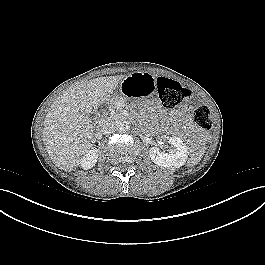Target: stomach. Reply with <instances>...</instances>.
Instances as JSON below:
<instances>
[{
	"label": "stomach",
	"mask_w": 265,
	"mask_h": 265,
	"mask_svg": "<svg viewBox=\"0 0 265 265\" xmlns=\"http://www.w3.org/2000/svg\"><path fill=\"white\" fill-rule=\"evenodd\" d=\"M154 83L155 78L151 74L134 73L121 82L118 92L130 100H139L153 92Z\"/></svg>",
	"instance_id": "obj_1"
}]
</instances>
